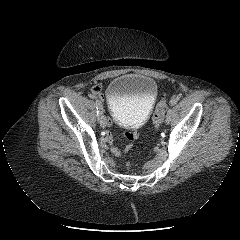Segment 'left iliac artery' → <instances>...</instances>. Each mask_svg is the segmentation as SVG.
<instances>
[{
	"mask_svg": "<svg viewBox=\"0 0 240 240\" xmlns=\"http://www.w3.org/2000/svg\"><path fill=\"white\" fill-rule=\"evenodd\" d=\"M177 102H178V98L173 97V98L170 100V105L173 106V105H175Z\"/></svg>",
	"mask_w": 240,
	"mask_h": 240,
	"instance_id": "obj_1",
	"label": "left iliac artery"
}]
</instances>
